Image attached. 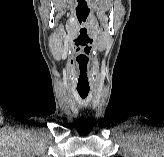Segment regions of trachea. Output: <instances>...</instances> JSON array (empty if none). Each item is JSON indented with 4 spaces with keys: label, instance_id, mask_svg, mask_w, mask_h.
Here are the masks:
<instances>
[{
    "label": "trachea",
    "instance_id": "obj_1",
    "mask_svg": "<svg viewBox=\"0 0 164 157\" xmlns=\"http://www.w3.org/2000/svg\"><path fill=\"white\" fill-rule=\"evenodd\" d=\"M81 98L85 99L89 93V89H78Z\"/></svg>",
    "mask_w": 164,
    "mask_h": 157
}]
</instances>
